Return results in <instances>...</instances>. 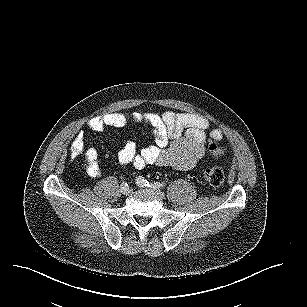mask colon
<instances>
[{"label": "colon", "instance_id": "5ec220e1", "mask_svg": "<svg viewBox=\"0 0 307 307\" xmlns=\"http://www.w3.org/2000/svg\"><path fill=\"white\" fill-rule=\"evenodd\" d=\"M210 155L214 156L218 150L217 144L211 142L207 146ZM204 181L212 187H219L223 184L225 175L219 167H209L203 172Z\"/></svg>", "mask_w": 307, "mask_h": 307}]
</instances>
